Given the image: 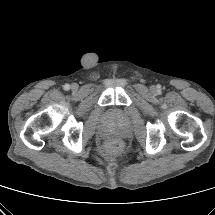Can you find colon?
Returning <instances> with one entry per match:
<instances>
[{
	"label": "colon",
	"instance_id": "obj_1",
	"mask_svg": "<svg viewBox=\"0 0 215 215\" xmlns=\"http://www.w3.org/2000/svg\"><path fill=\"white\" fill-rule=\"evenodd\" d=\"M122 149V145L117 140H112L106 143L105 145V151L109 154H115L120 152Z\"/></svg>",
	"mask_w": 215,
	"mask_h": 215
}]
</instances>
